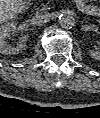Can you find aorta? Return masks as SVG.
Segmentation results:
<instances>
[{"label": "aorta", "instance_id": "aorta-1", "mask_svg": "<svg viewBox=\"0 0 100 118\" xmlns=\"http://www.w3.org/2000/svg\"><path fill=\"white\" fill-rule=\"evenodd\" d=\"M59 24L64 29H70L75 24L74 17L69 13H63L59 17Z\"/></svg>", "mask_w": 100, "mask_h": 118}]
</instances>
